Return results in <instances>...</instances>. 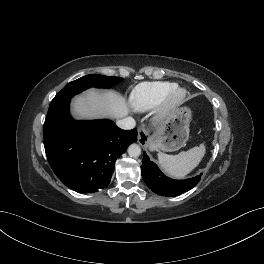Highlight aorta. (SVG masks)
I'll use <instances>...</instances> for the list:
<instances>
[{"instance_id": "obj_1", "label": "aorta", "mask_w": 264, "mask_h": 264, "mask_svg": "<svg viewBox=\"0 0 264 264\" xmlns=\"http://www.w3.org/2000/svg\"><path fill=\"white\" fill-rule=\"evenodd\" d=\"M128 154L130 157H138L141 154V148L137 144H131L128 148Z\"/></svg>"}]
</instances>
